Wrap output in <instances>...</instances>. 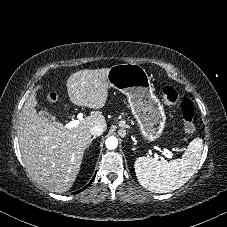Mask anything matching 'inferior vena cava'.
<instances>
[{
    "label": "inferior vena cava",
    "mask_w": 227,
    "mask_h": 227,
    "mask_svg": "<svg viewBox=\"0 0 227 227\" xmlns=\"http://www.w3.org/2000/svg\"><path fill=\"white\" fill-rule=\"evenodd\" d=\"M105 131V126L102 124H95L94 126L91 127V134L93 136H100L103 132Z\"/></svg>",
    "instance_id": "1"
}]
</instances>
